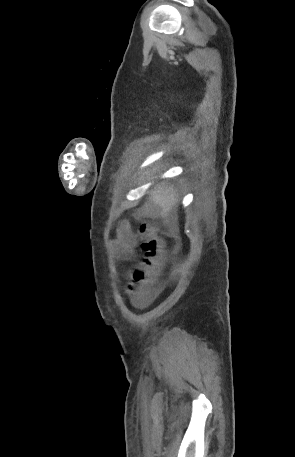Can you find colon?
Returning a JSON list of instances; mask_svg holds the SVG:
<instances>
[{
	"label": "colon",
	"mask_w": 295,
	"mask_h": 457,
	"mask_svg": "<svg viewBox=\"0 0 295 457\" xmlns=\"http://www.w3.org/2000/svg\"><path fill=\"white\" fill-rule=\"evenodd\" d=\"M139 237L143 258L131 272L132 285L128 289L135 299L142 297L145 289L152 284L153 277L162 265L166 245L172 240L171 236L162 235L147 222L140 225Z\"/></svg>",
	"instance_id": "1"
}]
</instances>
